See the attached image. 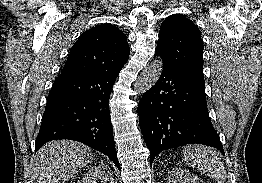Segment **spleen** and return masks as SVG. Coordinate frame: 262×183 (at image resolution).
Instances as JSON below:
<instances>
[{"mask_svg": "<svg viewBox=\"0 0 262 183\" xmlns=\"http://www.w3.org/2000/svg\"><path fill=\"white\" fill-rule=\"evenodd\" d=\"M184 160L199 172L216 180L226 182V170L219 154L212 148L202 145H188L183 149Z\"/></svg>", "mask_w": 262, "mask_h": 183, "instance_id": "3e777b00", "label": "spleen"}]
</instances>
